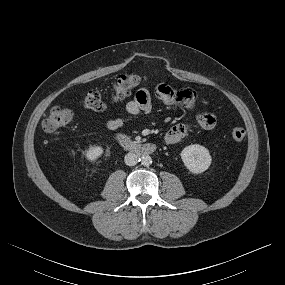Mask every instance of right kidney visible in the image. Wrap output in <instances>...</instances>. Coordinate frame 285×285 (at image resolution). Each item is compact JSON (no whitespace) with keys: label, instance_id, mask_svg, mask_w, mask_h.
<instances>
[{"label":"right kidney","instance_id":"ca27d5eb","mask_svg":"<svg viewBox=\"0 0 285 285\" xmlns=\"http://www.w3.org/2000/svg\"><path fill=\"white\" fill-rule=\"evenodd\" d=\"M103 154V148L100 146H91L85 153L87 160L95 162Z\"/></svg>","mask_w":285,"mask_h":285}]
</instances>
